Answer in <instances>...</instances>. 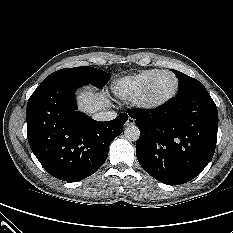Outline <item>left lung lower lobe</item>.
<instances>
[{"mask_svg":"<svg viewBox=\"0 0 233 233\" xmlns=\"http://www.w3.org/2000/svg\"><path fill=\"white\" fill-rule=\"evenodd\" d=\"M128 115L140 130L137 159L160 182L186 183L214 155L218 111L205 88L174 97L155 109H129Z\"/></svg>","mask_w":233,"mask_h":233,"instance_id":"left-lung-lower-lobe-1","label":"left lung lower lobe"}]
</instances>
